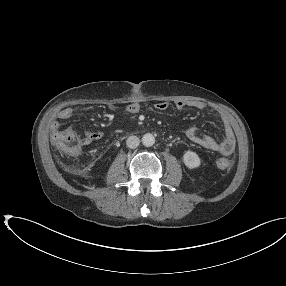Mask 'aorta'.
Masks as SVG:
<instances>
[{"mask_svg":"<svg viewBox=\"0 0 286 286\" xmlns=\"http://www.w3.org/2000/svg\"><path fill=\"white\" fill-rule=\"evenodd\" d=\"M142 143L146 147L153 146L155 143V137L151 133H146L142 137Z\"/></svg>","mask_w":286,"mask_h":286,"instance_id":"762f6f07","label":"aorta"}]
</instances>
